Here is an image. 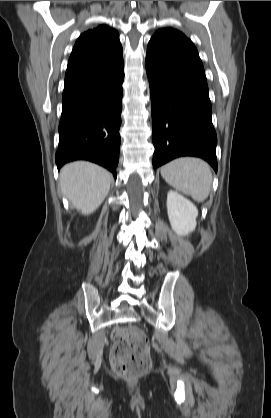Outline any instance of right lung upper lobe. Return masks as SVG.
Wrapping results in <instances>:
<instances>
[{
  "label": "right lung upper lobe",
  "mask_w": 271,
  "mask_h": 418,
  "mask_svg": "<svg viewBox=\"0 0 271 418\" xmlns=\"http://www.w3.org/2000/svg\"><path fill=\"white\" fill-rule=\"evenodd\" d=\"M122 63V46L116 30L100 25L84 32L69 58L63 97L93 84Z\"/></svg>",
  "instance_id": "cb5924a9"
}]
</instances>
